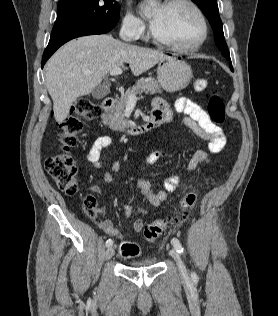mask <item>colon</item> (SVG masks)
I'll use <instances>...</instances> for the list:
<instances>
[{"label":"colon","mask_w":278,"mask_h":316,"mask_svg":"<svg viewBox=\"0 0 278 316\" xmlns=\"http://www.w3.org/2000/svg\"><path fill=\"white\" fill-rule=\"evenodd\" d=\"M205 79H197L194 82V90L202 92L207 88ZM100 111L89 99H78L71 108L69 116L59 124V147L61 152L49 156L45 160V168L58 188L68 196L78 192L77 166L70 154V149L76 145L77 137L83 129L82 119L92 120L99 115ZM208 114L215 124H221L225 120L224 102L215 94L208 102ZM197 201V191H188L180 201V207L184 213L191 210ZM85 213L96 219L99 215L97 201L94 196L88 195L83 200ZM168 222L157 219L148 224L144 229V237L149 242L156 241L165 231ZM120 253L123 257H133L140 253L137 244L124 241L120 245Z\"/></svg>","instance_id":"obj_1"}]
</instances>
